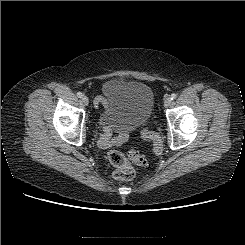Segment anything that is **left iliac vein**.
Listing matches in <instances>:
<instances>
[{
    "mask_svg": "<svg viewBox=\"0 0 245 245\" xmlns=\"http://www.w3.org/2000/svg\"><path fill=\"white\" fill-rule=\"evenodd\" d=\"M171 104V98L170 97H166L164 99V106L168 107Z\"/></svg>",
    "mask_w": 245,
    "mask_h": 245,
    "instance_id": "left-iliac-vein-1",
    "label": "left iliac vein"
}]
</instances>
